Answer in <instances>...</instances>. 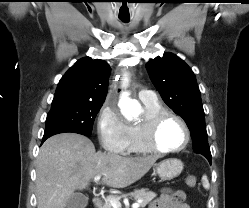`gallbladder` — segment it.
Segmentation results:
<instances>
[{
  "mask_svg": "<svg viewBox=\"0 0 249 208\" xmlns=\"http://www.w3.org/2000/svg\"><path fill=\"white\" fill-rule=\"evenodd\" d=\"M88 205V197L82 193H74L67 201L66 208H86Z\"/></svg>",
  "mask_w": 249,
  "mask_h": 208,
  "instance_id": "gallbladder-1",
  "label": "gallbladder"
}]
</instances>
